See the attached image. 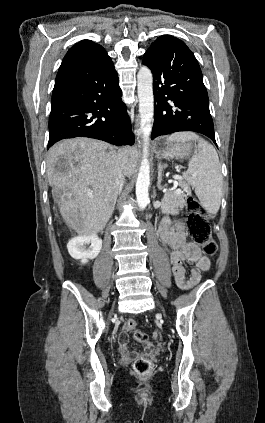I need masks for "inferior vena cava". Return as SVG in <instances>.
Here are the masks:
<instances>
[{
	"instance_id": "inferior-vena-cava-1",
	"label": "inferior vena cava",
	"mask_w": 265,
	"mask_h": 423,
	"mask_svg": "<svg viewBox=\"0 0 265 423\" xmlns=\"http://www.w3.org/2000/svg\"><path fill=\"white\" fill-rule=\"evenodd\" d=\"M126 172V168L123 164L119 166V172H118V180H117V189L118 193L121 192L124 184V173Z\"/></svg>"
}]
</instances>
